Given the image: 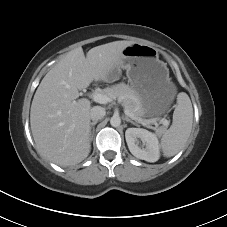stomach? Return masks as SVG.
<instances>
[{
	"mask_svg": "<svg viewBox=\"0 0 227 227\" xmlns=\"http://www.w3.org/2000/svg\"><path fill=\"white\" fill-rule=\"evenodd\" d=\"M121 69L126 70L130 86L139 97L143 118H158L169 110L176 86L156 48L137 42L127 46L122 51L121 63L109 73L108 81L117 80Z\"/></svg>",
	"mask_w": 227,
	"mask_h": 227,
	"instance_id": "0dacf381",
	"label": "stomach"
}]
</instances>
